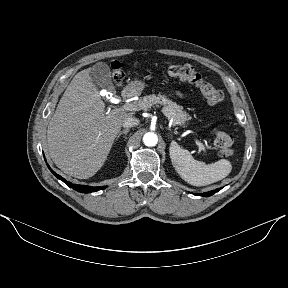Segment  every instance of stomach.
<instances>
[{"label":"stomach","mask_w":288,"mask_h":288,"mask_svg":"<svg viewBox=\"0 0 288 288\" xmlns=\"http://www.w3.org/2000/svg\"><path fill=\"white\" fill-rule=\"evenodd\" d=\"M145 87V83L141 80H134L130 82L126 90L132 95H140Z\"/></svg>","instance_id":"obj_1"}]
</instances>
